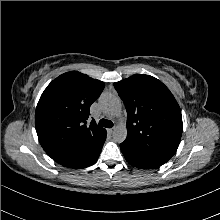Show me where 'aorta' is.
<instances>
[{"label":"aorta","mask_w":220,"mask_h":220,"mask_svg":"<svg viewBox=\"0 0 220 220\" xmlns=\"http://www.w3.org/2000/svg\"><path fill=\"white\" fill-rule=\"evenodd\" d=\"M101 108L108 114L119 116L122 112V106L117 97L111 94H104L99 100ZM127 128L124 124H119L113 129V139L115 142L121 143L126 139Z\"/></svg>","instance_id":"762f6f07"}]
</instances>
